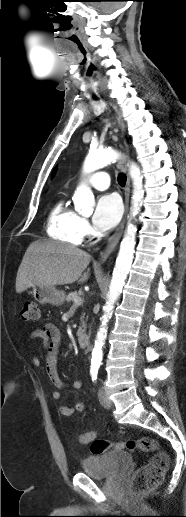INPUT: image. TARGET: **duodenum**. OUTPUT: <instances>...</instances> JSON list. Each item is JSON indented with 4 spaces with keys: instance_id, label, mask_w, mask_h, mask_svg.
I'll return each instance as SVG.
<instances>
[{
    "instance_id": "410a0bca",
    "label": "duodenum",
    "mask_w": 186,
    "mask_h": 517,
    "mask_svg": "<svg viewBox=\"0 0 186 517\" xmlns=\"http://www.w3.org/2000/svg\"><path fill=\"white\" fill-rule=\"evenodd\" d=\"M77 343L80 348H87L89 346V337L87 334L79 332L77 334Z\"/></svg>"
}]
</instances>
